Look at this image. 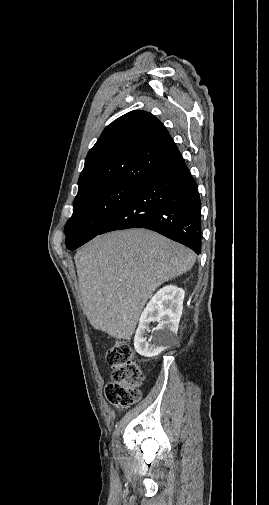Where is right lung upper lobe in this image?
Masks as SVG:
<instances>
[{
  "mask_svg": "<svg viewBox=\"0 0 269 505\" xmlns=\"http://www.w3.org/2000/svg\"><path fill=\"white\" fill-rule=\"evenodd\" d=\"M182 158L165 126L151 113L131 111L102 132L85 159L78 193L100 184H144Z\"/></svg>",
  "mask_w": 269,
  "mask_h": 505,
  "instance_id": "1",
  "label": "right lung upper lobe"
}]
</instances>
